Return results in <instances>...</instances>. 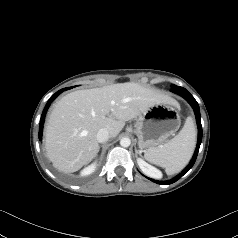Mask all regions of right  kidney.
I'll list each match as a JSON object with an SVG mask.
<instances>
[{"mask_svg": "<svg viewBox=\"0 0 238 238\" xmlns=\"http://www.w3.org/2000/svg\"><path fill=\"white\" fill-rule=\"evenodd\" d=\"M94 170H95V165H90L83 170L82 174L88 175V174L92 173Z\"/></svg>", "mask_w": 238, "mask_h": 238, "instance_id": "right-kidney-1", "label": "right kidney"}]
</instances>
